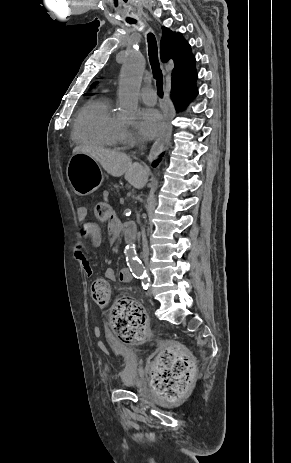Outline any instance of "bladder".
<instances>
[{
  "mask_svg": "<svg viewBox=\"0 0 291 463\" xmlns=\"http://www.w3.org/2000/svg\"><path fill=\"white\" fill-rule=\"evenodd\" d=\"M117 352L122 356L125 363L124 369L119 374V382L126 388L137 387L140 381L136 371L138 358L135 349L124 344H118Z\"/></svg>",
  "mask_w": 291,
  "mask_h": 463,
  "instance_id": "bladder-1",
  "label": "bladder"
}]
</instances>
